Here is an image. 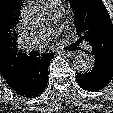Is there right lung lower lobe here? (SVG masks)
<instances>
[{"mask_svg": "<svg viewBox=\"0 0 113 113\" xmlns=\"http://www.w3.org/2000/svg\"><path fill=\"white\" fill-rule=\"evenodd\" d=\"M53 56V53H47L41 57H30L20 75L8 83V86L26 98L42 94L48 83V66Z\"/></svg>", "mask_w": 113, "mask_h": 113, "instance_id": "98d812e1", "label": "right lung lower lobe"}]
</instances>
